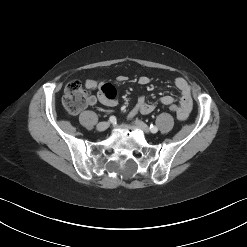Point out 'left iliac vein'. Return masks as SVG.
<instances>
[{
    "instance_id": "left-iliac-vein-1",
    "label": "left iliac vein",
    "mask_w": 247,
    "mask_h": 247,
    "mask_svg": "<svg viewBox=\"0 0 247 247\" xmlns=\"http://www.w3.org/2000/svg\"><path fill=\"white\" fill-rule=\"evenodd\" d=\"M134 123H135V125H136L138 128H140V129H141L142 131H144L145 133H149V132H150V129H149L148 125L145 124L144 122H142V121L136 119V120L134 121Z\"/></svg>"
}]
</instances>
